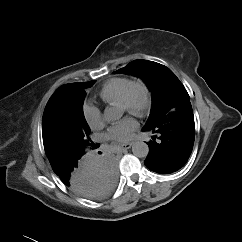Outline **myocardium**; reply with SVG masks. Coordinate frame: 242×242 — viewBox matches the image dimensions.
Wrapping results in <instances>:
<instances>
[{
    "mask_svg": "<svg viewBox=\"0 0 242 242\" xmlns=\"http://www.w3.org/2000/svg\"><path fill=\"white\" fill-rule=\"evenodd\" d=\"M136 90L142 92V99L140 102L134 101V93ZM125 107L126 111L139 117L145 116L152 105L151 89L147 82L142 79L132 80L124 91L122 99L119 103Z\"/></svg>",
    "mask_w": 242,
    "mask_h": 242,
    "instance_id": "myocardium-1",
    "label": "myocardium"
}]
</instances>
